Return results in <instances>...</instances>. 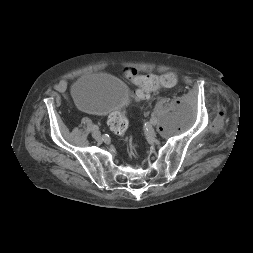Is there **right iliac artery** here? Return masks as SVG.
I'll list each match as a JSON object with an SVG mask.
<instances>
[{"label": "right iliac artery", "instance_id": "82829eb1", "mask_svg": "<svg viewBox=\"0 0 253 253\" xmlns=\"http://www.w3.org/2000/svg\"><path fill=\"white\" fill-rule=\"evenodd\" d=\"M91 130H92V131H94V130H98V126H96V125H92V126H91Z\"/></svg>", "mask_w": 253, "mask_h": 253}]
</instances>
